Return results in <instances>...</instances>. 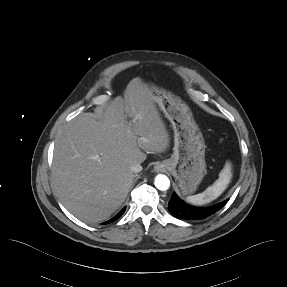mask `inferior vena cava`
Segmentation results:
<instances>
[{
    "label": "inferior vena cava",
    "mask_w": 287,
    "mask_h": 287,
    "mask_svg": "<svg viewBox=\"0 0 287 287\" xmlns=\"http://www.w3.org/2000/svg\"><path fill=\"white\" fill-rule=\"evenodd\" d=\"M131 171L133 173H139L140 171H142V166L140 165V163H134L132 166H131Z\"/></svg>",
    "instance_id": "obj_1"
}]
</instances>
